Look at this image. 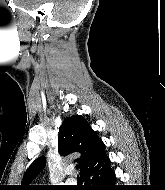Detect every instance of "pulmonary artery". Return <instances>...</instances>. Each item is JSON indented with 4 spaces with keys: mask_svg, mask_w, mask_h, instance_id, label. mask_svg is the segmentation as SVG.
<instances>
[{
    "mask_svg": "<svg viewBox=\"0 0 165 190\" xmlns=\"http://www.w3.org/2000/svg\"><path fill=\"white\" fill-rule=\"evenodd\" d=\"M67 174H71V170H69L68 172H67ZM67 183L68 184H74L75 183V179L74 178H72V177H70V178H68L67 179Z\"/></svg>",
    "mask_w": 165,
    "mask_h": 190,
    "instance_id": "pulmonary-artery-1",
    "label": "pulmonary artery"
}]
</instances>
